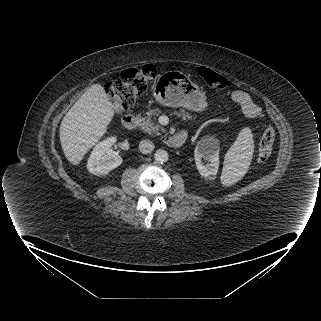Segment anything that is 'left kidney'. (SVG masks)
<instances>
[{
	"instance_id": "5707ae66",
	"label": "left kidney",
	"mask_w": 321,
	"mask_h": 321,
	"mask_svg": "<svg viewBox=\"0 0 321 321\" xmlns=\"http://www.w3.org/2000/svg\"><path fill=\"white\" fill-rule=\"evenodd\" d=\"M197 169L204 177H214L219 168V142L214 137L200 140L194 150ZM208 160L209 164H202L201 159Z\"/></svg>"
}]
</instances>
